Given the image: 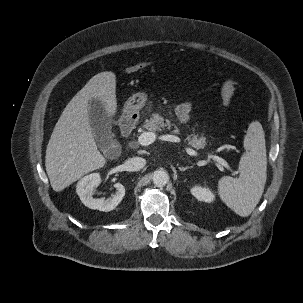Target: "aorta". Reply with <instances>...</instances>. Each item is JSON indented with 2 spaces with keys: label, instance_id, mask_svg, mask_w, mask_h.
<instances>
[{
  "label": "aorta",
  "instance_id": "762f6f07",
  "mask_svg": "<svg viewBox=\"0 0 303 303\" xmlns=\"http://www.w3.org/2000/svg\"><path fill=\"white\" fill-rule=\"evenodd\" d=\"M152 179L155 186L163 187L168 183L169 175L165 170H156Z\"/></svg>",
  "mask_w": 303,
  "mask_h": 303
}]
</instances>
